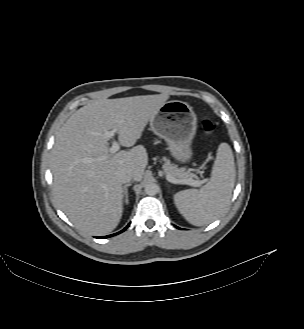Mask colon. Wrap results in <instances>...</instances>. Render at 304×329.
Here are the masks:
<instances>
[{"instance_id": "obj_1", "label": "colon", "mask_w": 304, "mask_h": 329, "mask_svg": "<svg viewBox=\"0 0 304 329\" xmlns=\"http://www.w3.org/2000/svg\"><path fill=\"white\" fill-rule=\"evenodd\" d=\"M201 128L205 134H211L214 131V124L210 120L205 119L201 123Z\"/></svg>"}]
</instances>
